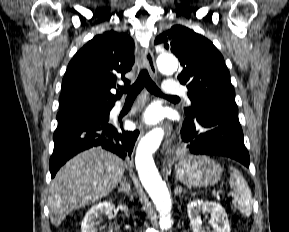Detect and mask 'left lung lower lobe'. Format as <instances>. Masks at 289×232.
<instances>
[{"mask_svg": "<svg viewBox=\"0 0 289 232\" xmlns=\"http://www.w3.org/2000/svg\"><path fill=\"white\" fill-rule=\"evenodd\" d=\"M184 148L191 154L220 155L249 167V153L244 145L240 123L222 113L204 111L185 119L181 130Z\"/></svg>", "mask_w": 289, "mask_h": 232, "instance_id": "0a47b994", "label": "left lung lower lobe"}]
</instances>
